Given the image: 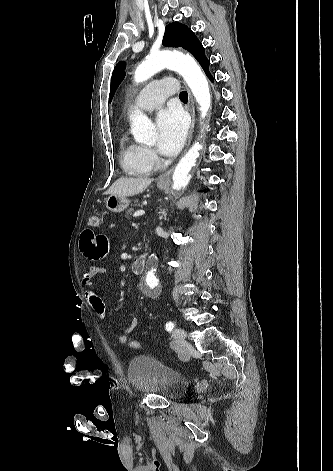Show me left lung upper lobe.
Returning a JSON list of instances; mask_svg holds the SVG:
<instances>
[{"instance_id":"obj_1","label":"left lung upper lobe","mask_w":333,"mask_h":471,"mask_svg":"<svg viewBox=\"0 0 333 471\" xmlns=\"http://www.w3.org/2000/svg\"><path fill=\"white\" fill-rule=\"evenodd\" d=\"M163 45L166 47H182L188 50L196 60L201 63L205 57V50L201 42L197 39L194 32L188 29L186 25L178 22L166 26L163 37ZM125 63L120 62L114 68L111 77L110 101L121 81L125 77Z\"/></svg>"}]
</instances>
